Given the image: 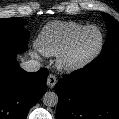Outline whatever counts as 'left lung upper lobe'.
<instances>
[{
	"instance_id": "1",
	"label": "left lung upper lobe",
	"mask_w": 119,
	"mask_h": 119,
	"mask_svg": "<svg viewBox=\"0 0 119 119\" xmlns=\"http://www.w3.org/2000/svg\"><path fill=\"white\" fill-rule=\"evenodd\" d=\"M107 26V37L100 55L95 59L100 65H104L119 58V23L107 13H103Z\"/></svg>"
}]
</instances>
